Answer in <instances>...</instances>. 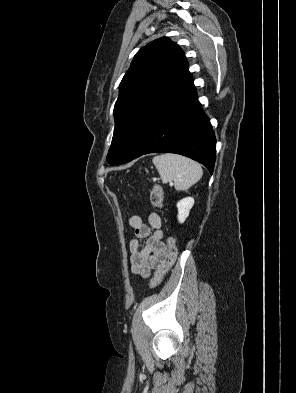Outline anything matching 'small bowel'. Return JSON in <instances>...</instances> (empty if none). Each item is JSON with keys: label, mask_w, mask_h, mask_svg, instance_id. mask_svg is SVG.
Returning <instances> with one entry per match:
<instances>
[{"label": "small bowel", "mask_w": 296, "mask_h": 393, "mask_svg": "<svg viewBox=\"0 0 296 393\" xmlns=\"http://www.w3.org/2000/svg\"><path fill=\"white\" fill-rule=\"evenodd\" d=\"M148 221L149 225L138 215H132L128 220L136 236L129 244L131 272L142 278H148L166 256L161 217L152 212ZM141 240H144V243H141Z\"/></svg>", "instance_id": "small-bowel-1"}]
</instances>
